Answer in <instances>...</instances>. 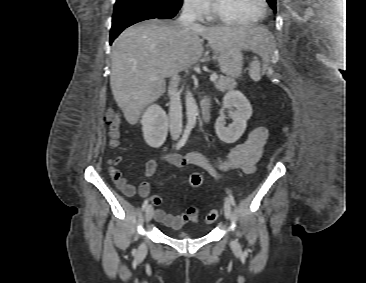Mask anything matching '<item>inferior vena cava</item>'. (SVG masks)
<instances>
[{
  "label": "inferior vena cava",
  "instance_id": "602c4592",
  "mask_svg": "<svg viewBox=\"0 0 366 283\" xmlns=\"http://www.w3.org/2000/svg\"><path fill=\"white\" fill-rule=\"evenodd\" d=\"M197 13L192 3L186 1L183 10L178 18V23L182 27L196 26ZM178 75H174L169 85L170 107H169V127L172 136L178 137L182 132V106L180 92L178 91Z\"/></svg>",
  "mask_w": 366,
  "mask_h": 283
}]
</instances>
